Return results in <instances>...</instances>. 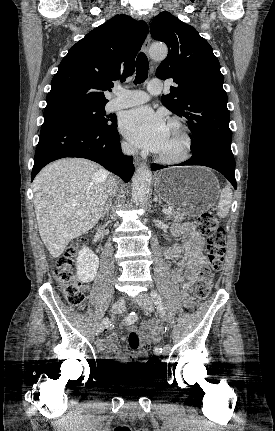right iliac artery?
Returning a JSON list of instances; mask_svg holds the SVG:
<instances>
[{"mask_svg": "<svg viewBox=\"0 0 275 431\" xmlns=\"http://www.w3.org/2000/svg\"><path fill=\"white\" fill-rule=\"evenodd\" d=\"M137 320V314L135 312L130 313L129 315H127L125 317V319L123 320V324L124 325H131L133 324L135 321ZM102 323L106 326V327H111L112 324H110V321L108 318H104Z\"/></svg>", "mask_w": 275, "mask_h": 431, "instance_id": "1", "label": "right iliac artery"}]
</instances>
